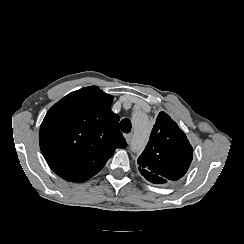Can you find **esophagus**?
Returning <instances> with one entry per match:
<instances>
[{
    "instance_id": "obj_1",
    "label": "esophagus",
    "mask_w": 244,
    "mask_h": 244,
    "mask_svg": "<svg viewBox=\"0 0 244 244\" xmlns=\"http://www.w3.org/2000/svg\"><path fill=\"white\" fill-rule=\"evenodd\" d=\"M132 138H133V134L132 133H129V134L125 135V139H126L127 143H130L132 141Z\"/></svg>"
}]
</instances>
